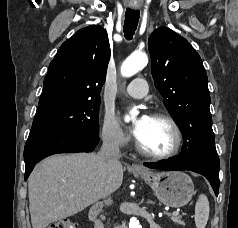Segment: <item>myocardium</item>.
Returning a JSON list of instances; mask_svg holds the SVG:
<instances>
[{"label": "myocardium", "instance_id": "obj_1", "mask_svg": "<svg viewBox=\"0 0 238 228\" xmlns=\"http://www.w3.org/2000/svg\"><path fill=\"white\" fill-rule=\"evenodd\" d=\"M150 117L154 118V119L165 120L170 124V126L172 127L173 132H174V144H173L172 148L167 152L152 153V152L145 150L142 147V145L140 144L139 140L137 139L136 143H135L137 151L142 156L150 158V159H155V160H164V159H169V158L174 157L180 151L181 146H182V141H183L182 131H181L179 124L171 115H169L168 113L162 112V111L153 112L150 115Z\"/></svg>", "mask_w": 238, "mask_h": 228}]
</instances>
